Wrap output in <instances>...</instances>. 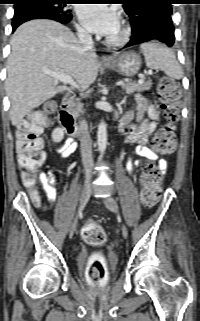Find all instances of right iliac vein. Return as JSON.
Listing matches in <instances>:
<instances>
[{"instance_id":"1","label":"right iliac vein","mask_w":200,"mask_h":321,"mask_svg":"<svg viewBox=\"0 0 200 321\" xmlns=\"http://www.w3.org/2000/svg\"><path fill=\"white\" fill-rule=\"evenodd\" d=\"M90 193H91V177L88 176L86 181H85V184H84V187L82 189L81 196H80L79 212L75 216V218H74V220H73V222H72V224L70 226V229H69L70 237L73 236V234H74V232L76 230L78 215H79L80 211L84 208L86 203L88 202L89 197H90Z\"/></svg>"}]
</instances>
